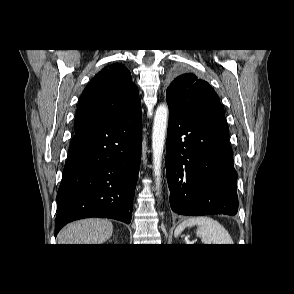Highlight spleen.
Instances as JSON below:
<instances>
[{"label": "spleen", "mask_w": 294, "mask_h": 294, "mask_svg": "<svg viewBox=\"0 0 294 294\" xmlns=\"http://www.w3.org/2000/svg\"><path fill=\"white\" fill-rule=\"evenodd\" d=\"M197 226L196 235L203 244H233L227 230L216 220L208 216L189 217L175 229L174 236L178 237L185 228Z\"/></svg>", "instance_id": "obj_1"}]
</instances>
